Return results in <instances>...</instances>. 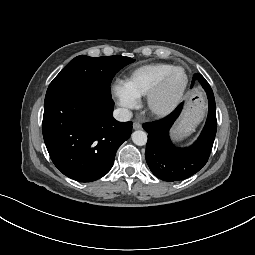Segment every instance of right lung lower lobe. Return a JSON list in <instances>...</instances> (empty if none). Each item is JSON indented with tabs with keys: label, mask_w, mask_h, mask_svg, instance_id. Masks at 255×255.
I'll list each match as a JSON object with an SVG mask.
<instances>
[{
	"label": "right lung lower lobe",
	"mask_w": 255,
	"mask_h": 255,
	"mask_svg": "<svg viewBox=\"0 0 255 255\" xmlns=\"http://www.w3.org/2000/svg\"><path fill=\"white\" fill-rule=\"evenodd\" d=\"M111 96L84 85L48 88L42 132L54 165L67 177L91 182L113 166L119 146L132 131V122L113 118Z\"/></svg>",
	"instance_id": "obj_1"
}]
</instances>
